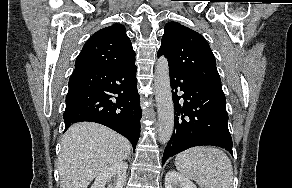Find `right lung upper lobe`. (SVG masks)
Segmentation results:
<instances>
[{
	"instance_id": "1",
	"label": "right lung upper lobe",
	"mask_w": 292,
	"mask_h": 188,
	"mask_svg": "<svg viewBox=\"0 0 292 188\" xmlns=\"http://www.w3.org/2000/svg\"><path fill=\"white\" fill-rule=\"evenodd\" d=\"M135 63V52L125 27L113 24L94 33L84 44L75 67H124Z\"/></svg>"
}]
</instances>
